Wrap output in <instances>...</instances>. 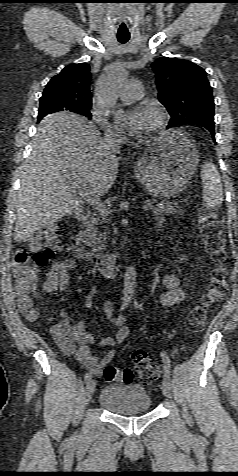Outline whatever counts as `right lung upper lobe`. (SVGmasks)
<instances>
[{"instance_id":"1","label":"right lung upper lobe","mask_w":238,"mask_h":476,"mask_svg":"<svg viewBox=\"0 0 238 476\" xmlns=\"http://www.w3.org/2000/svg\"><path fill=\"white\" fill-rule=\"evenodd\" d=\"M90 66L87 63L70 64L51 78L40 102H51L71 112L91 108Z\"/></svg>"}]
</instances>
